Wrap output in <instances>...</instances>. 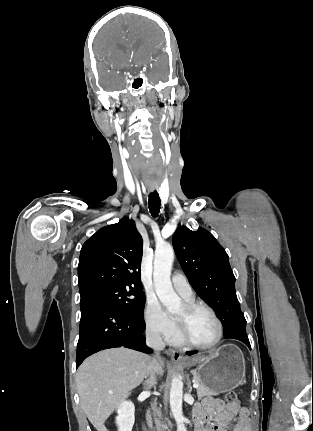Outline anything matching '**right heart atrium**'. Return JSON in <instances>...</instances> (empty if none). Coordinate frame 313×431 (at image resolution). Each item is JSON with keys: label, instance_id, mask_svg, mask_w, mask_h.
Returning a JSON list of instances; mask_svg holds the SVG:
<instances>
[{"label": "right heart atrium", "instance_id": "d8ad5b80", "mask_svg": "<svg viewBox=\"0 0 313 431\" xmlns=\"http://www.w3.org/2000/svg\"><path fill=\"white\" fill-rule=\"evenodd\" d=\"M144 321L147 330L163 339H168L175 330V323L162 308L157 299H148L144 308Z\"/></svg>", "mask_w": 313, "mask_h": 431}]
</instances>
